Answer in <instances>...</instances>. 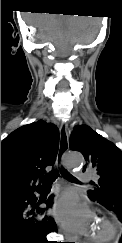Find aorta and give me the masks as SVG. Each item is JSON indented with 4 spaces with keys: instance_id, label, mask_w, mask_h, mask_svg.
I'll use <instances>...</instances> for the list:
<instances>
[{
    "instance_id": "aorta-1",
    "label": "aorta",
    "mask_w": 122,
    "mask_h": 243,
    "mask_svg": "<svg viewBox=\"0 0 122 243\" xmlns=\"http://www.w3.org/2000/svg\"><path fill=\"white\" fill-rule=\"evenodd\" d=\"M83 161L84 159L79 153L72 152L66 157V165L71 169L82 166Z\"/></svg>"
}]
</instances>
